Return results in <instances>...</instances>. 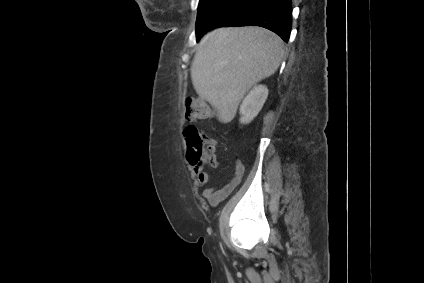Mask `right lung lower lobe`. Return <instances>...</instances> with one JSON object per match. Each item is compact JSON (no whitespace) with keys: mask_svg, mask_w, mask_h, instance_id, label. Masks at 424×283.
I'll return each mask as SVG.
<instances>
[{"mask_svg":"<svg viewBox=\"0 0 424 283\" xmlns=\"http://www.w3.org/2000/svg\"><path fill=\"white\" fill-rule=\"evenodd\" d=\"M260 26L288 41L292 25L291 0H227L222 9L196 32L197 40L217 27Z\"/></svg>","mask_w":424,"mask_h":283,"instance_id":"right-lung-lower-lobe-1","label":"right lung lower lobe"}]
</instances>
